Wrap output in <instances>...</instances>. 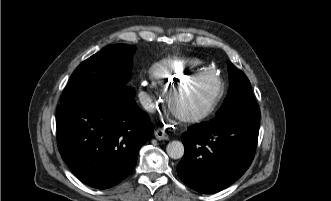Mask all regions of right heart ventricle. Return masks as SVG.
<instances>
[{
  "mask_svg": "<svg viewBox=\"0 0 331 201\" xmlns=\"http://www.w3.org/2000/svg\"><path fill=\"white\" fill-rule=\"evenodd\" d=\"M200 72L208 74L211 71L197 58L164 59L153 66L151 75L157 83L165 85Z\"/></svg>",
  "mask_w": 331,
  "mask_h": 201,
  "instance_id": "e07e8e85",
  "label": "right heart ventricle"
}]
</instances>
